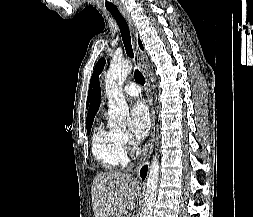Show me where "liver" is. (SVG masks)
<instances>
[{
	"mask_svg": "<svg viewBox=\"0 0 253 217\" xmlns=\"http://www.w3.org/2000/svg\"><path fill=\"white\" fill-rule=\"evenodd\" d=\"M140 187L136 179L122 172L98 174L92 184L94 217H122L135 208Z\"/></svg>",
	"mask_w": 253,
	"mask_h": 217,
	"instance_id": "obj_1",
	"label": "liver"
}]
</instances>
